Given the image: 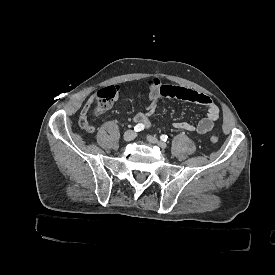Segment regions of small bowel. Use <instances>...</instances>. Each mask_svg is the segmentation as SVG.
<instances>
[{
  "label": "small bowel",
  "instance_id": "small-bowel-1",
  "mask_svg": "<svg viewBox=\"0 0 275 275\" xmlns=\"http://www.w3.org/2000/svg\"><path fill=\"white\" fill-rule=\"evenodd\" d=\"M145 86L149 89L148 104L145 111L139 112L134 116V122L144 128H149L152 124V118L156 112L160 100L164 97H173L180 100L190 101L202 104L206 109V116L197 124L187 121H177L173 124L174 129L178 131L196 132L205 134L212 130L214 124L219 119L220 110L214 101L206 94L199 93L190 88L174 85H164L157 77L149 78L145 81ZM94 104V96H91L84 103L83 107L89 109ZM101 111H96L98 115Z\"/></svg>",
  "mask_w": 275,
  "mask_h": 275
}]
</instances>
